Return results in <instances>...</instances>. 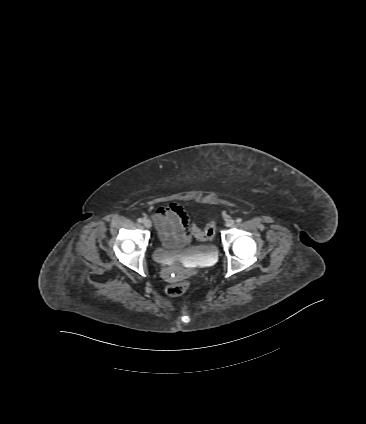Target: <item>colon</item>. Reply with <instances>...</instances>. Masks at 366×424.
<instances>
[{
    "instance_id": "obj_1",
    "label": "colon",
    "mask_w": 366,
    "mask_h": 424,
    "mask_svg": "<svg viewBox=\"0 0 366 424\" xmlns=\"http://www.w3.org/2000/svg\"><path fill=\"white\" fill-rule=\"evenodd\" d=\"M215 228V222H210L203 229L199 228L195 224H192L191 232L196 238L200 240H209L214 236ZM188 285L189 284L186 281L172 283L167 287L166 292L169 296L172 297L180 296L186 292Z\"/></svg>"
}]
</instances>
